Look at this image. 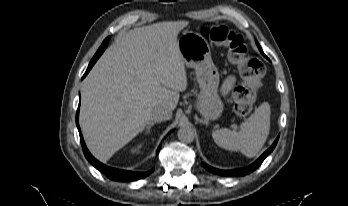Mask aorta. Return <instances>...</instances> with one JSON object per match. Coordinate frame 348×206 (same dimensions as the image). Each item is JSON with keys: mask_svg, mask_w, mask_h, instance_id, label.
<instances>
[{"mask_svg": "<svg viewBox=\"0 0 348 206\" xmlns=\"http://www.w3.org/2000/svg\"><path fill=\"white\" fill-rule=\"evenodd\" d=\"M178 139L184 143H191L195 138V131L192 127L185 125L177 132Z\"/></svg>", "mask_w": 348, "mask_h": 206, "instance_id": "obj_1", "label": "aorta"}]
</instances>
